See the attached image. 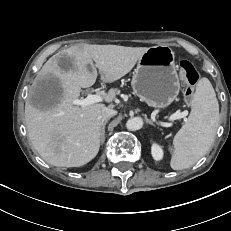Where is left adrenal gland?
Returning <instances> with one entry per match:
<instances>
[{"label":"left adrenal gland","mask_w":231,"mask_h":231,"mask_svg":"<svg viewBox=\"0 0 231 231\" xmlns=\"http://www.w3.org/2000/svg\"><path fill=\"white\" fill-rule=\"evenodd\" d=\"M146 122H147L148 124L152 125V126H155L154 123H153L151 120H149L148 118H146Z\"/></svg>","instance_id":"left-adrenal-gland-1"}]
</instances>
